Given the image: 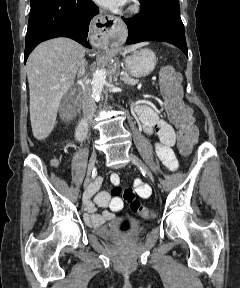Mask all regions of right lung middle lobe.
<instances>
[{
    "instance_id": "right-lung-middle-lobe-1",
    "label": "right lung middle lobe",
    "mask_w": 240,
    "mask_h": 288,
    "mask_svg": "<svg viewBox=\"0 0 240 288\" xmlns=\"http://www.w3.org/2000/svg\"><path fill=\"white\" fill-rule=\"evenodd\" d=\"M42 0H31V7L35 6L36 4H38L39 2H41Z\"/></svg>"
}]
</instances>
